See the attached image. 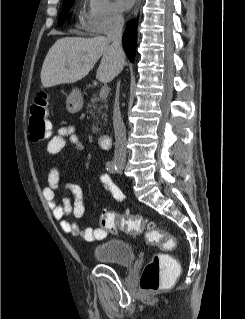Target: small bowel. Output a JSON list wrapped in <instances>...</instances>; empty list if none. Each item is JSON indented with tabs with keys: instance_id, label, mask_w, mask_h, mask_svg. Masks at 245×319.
<instances>
[{
	"instance_id": "c3829d8e",
	"label": "small bowel",
	"mask_w": 245,
	"mask_h": 319,
	"mask_svg": "<svg viewBox=\"0 0 245 319\" xmlns=\"http://www.w3.org/2000/svg\"><path fill=\"white\" fill-rule=\"evenodd\" d=\"M76 145L80 151L84 147L79 142L76 129L72 125L61 127L47 144V152L50 155L58 154L66 142ZM100 182L104 190L115 200L120 197V189L112 182L106 174L100 175ZM60 184V172L57 167H52L47 176V185L43 189V197L47 202L54 218L59 221L62 230L71 235H80L84 241L97 242L106 238L107 231L102 227H88L80 231L77 223L70 221L69 216L80 218L83 216L85 207L83 203V190L80 185L67 182L64 185L62 199L59 202L56 198Z\"/></svg>"
}]
</instances>
